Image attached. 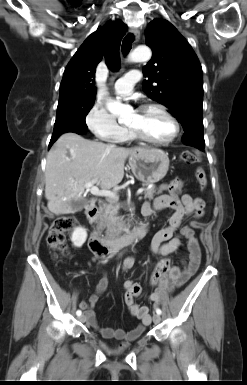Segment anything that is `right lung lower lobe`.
Returning a JSON list of instances; mask_svg holds the SVG:
<instances>
[{
	"instance_id": "obj_1",
	"label": "right lung lower lobe",
	"mask_w": 247,
	"mask_h": 385,
	"mask_svg": "<svg viewBox=\"0 0 247 385\" xmlns=\"http://www.w3.org/2000/svg\"><path fill=\"white\" fill-rule=\"evenodd\" d=\"M66 132H74V133L83 135V134H86L87 129L75 128V129L63 131V132L58 133V134H53V135H52V138H51V140H50V143H49V147L52 146V144L57 140V138H58L61 134L66 133Z\"/></svg>"
}]
</instances>
